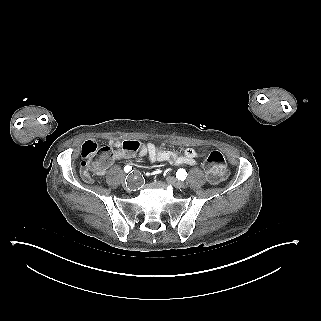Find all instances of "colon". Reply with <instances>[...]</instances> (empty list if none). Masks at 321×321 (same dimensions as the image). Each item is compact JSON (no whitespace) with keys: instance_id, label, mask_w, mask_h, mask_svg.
I'll use <instances>...</instances> for the list:
<instances>
[{"instance_id":"obj_1","label":"colon","mask_w":321,"mask_h":321,"mask_svg":"<svg viewBox=\"0 0 321 321\" xmlns=\"http://www.w3.org/2000/svg\"><path fill=\"white\" fill-rule=\"evenodd\" d=\"M143 148V144L136 140H127L122 143V150L134 154ZM205 157L204 170L210 183L216 184L227 177V164L223 154L216 150L205 149L201 152ZM81 175L90 179L93 177L101 163L106 159L102 152L87 150L82 153Z\"/></svg>"}]
</instances>
